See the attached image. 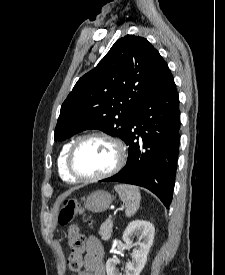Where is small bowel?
<instances>
[{"label": "small bowel", "mask_w": 225, "mask_h": 275, "mask_svg": "<svg viewBox=\"0 0 225 275\" xmlns=\"http://www.w3.org/2000/svg\"><path fill=\"white\" fill-rule=\"evenodd\" d=\"M84 268L78 275H105L103 247L95 237H88L84 245Z\"/></svg>", "instance_id": "small-bowel-1"}]
</instances>
